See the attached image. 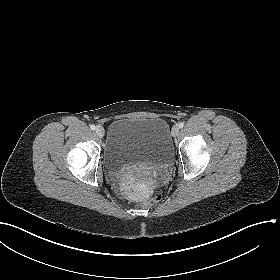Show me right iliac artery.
Masks as SVG:
<instances>
[{
	"instance_id": "1",
	"label": "right iliac artery",
	"mask_w": 280,
	"mask_h": 280,
	"mask_svg": "<svg viewBox=\"0 0 280 280\" xmlns=\"http://www.w3.org/2000/svg\"><path fill=\"white\" fill-rule=\"evenodd\" d=\"M91 130H95V125H90Z\"/></svg>"
}]
</instances>
